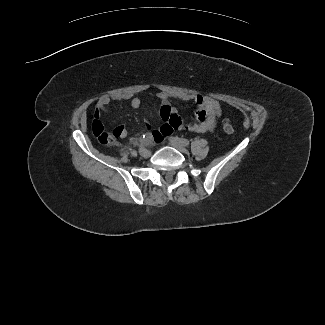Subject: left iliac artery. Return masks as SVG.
<instances>
[{
	"mask_svg": "<svg viewBox=\"0 0 325 325\" xmlns=\"http://www.w3.org/2000/svg\"><path fill=\"white\" fill-rule=\"evenodd\" d=\"M176 142L182 144L183 146H188L189 145V141L187 139L184 138H178V137H172Z\"/></svg>",
	"mask_w": 325,
	"mask_h": 325,
	"instance_id": "44dca946",
	"label": "left iliac artery"
}]
</instances>
